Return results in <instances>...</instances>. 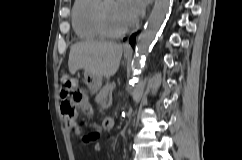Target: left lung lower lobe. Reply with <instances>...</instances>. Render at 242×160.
Masks as SVG:
<instances>
[{
  "mask_svg": "<svg viewBox=\"0 0 242 160\" xmlns=\"http://www.w3.org/2000/svg\"><path fill=\"white\" fill-rule=\"evenodd\" d=\"M135 39V34H133L130 39H129V43L132 45Z\"/></svg>",
  "mask_w": 242,
  "mask_h": 160,
  "instance_id": "1",
  "label": "left lung lower lobe"
}]
</instances>
